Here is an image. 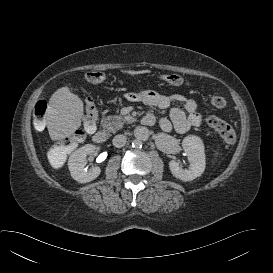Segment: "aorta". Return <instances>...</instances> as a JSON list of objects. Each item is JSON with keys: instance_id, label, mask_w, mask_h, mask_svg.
<instances>
[{"instance_id": "aorta-1", "label": "aorta", "mask_w": 273, "mask_h": 273, "mask_svg": "<svg viewBox=\"0 0 273 273\" xmlns=\"http://www.w3.org/2000/svg\"><path fill=\"white\" fill-rule=\"evenodd\" d=\"M142 141H141V139H139V138H136L135 140H133V142H132V146L133 147H135V148H140V147H142Z\"/></svg>"}]
</instances>
